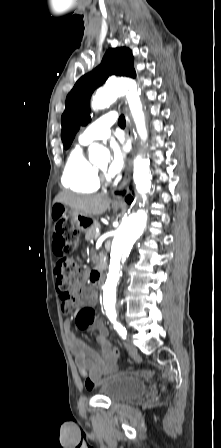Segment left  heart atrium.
Returning a JSON list of instances; mask_svg holds the SVG:
<instances>
[{"label":"left heart atrium","instance_id":"obj_1","mask_svg":"<svg viewBox=\"0 0 221 448\" xmlns=\"http://www.w3.org/2000/svg\"><path fill=\"white\" fill-rule=\"evenodd\" d=\"M112 157L107 167V172L110 177H115L121 173L124 168L126 154L124 150L117 144L112 145Z\"/></svg>","mask_w":221,"mask_h":448}]
</instances>
